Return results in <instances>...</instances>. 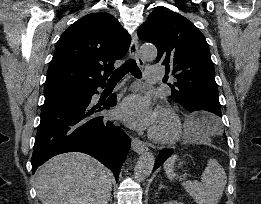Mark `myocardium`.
<instances>
[{"mask_svg":"<svg viewBox=\"0 0 261 204\" xmlns=\"http://www.w3.org/2000/svg\"><path fill=\"white\" fill-rule=\"evenodd\" d=\"M157 114H161L168 119L170 128L164 133H159L151 129L149 131V137L153 141L162 144L175 141L180 136L182 131V122L179 115L169 106H160L157 110Z\"/></svg>","mask_w":261,"mask_h":204,"instance_id":"1","label":"myocardium"}]
</instances>
